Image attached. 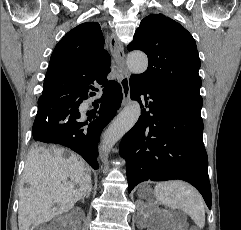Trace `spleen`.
Masks as SVG:
<instances>
[{
  "label": "spleen",
  "instance_id": "obj_1",
  "mask_svg": "<svg viewBox=\"0 0 241 230\" xmlns=\"http://www.w3.org/2000/svg\"><path fill=\"white\" fill-rule=\"evenodd\" d=\"M154 195L160 203L173 209L184 210L198 227H204V201L202 196L192 186L179 181L158 183L155 186Z\"/></svg>",
  "mask_w": 241,
  "mask_h": 230
}]
</instances>
